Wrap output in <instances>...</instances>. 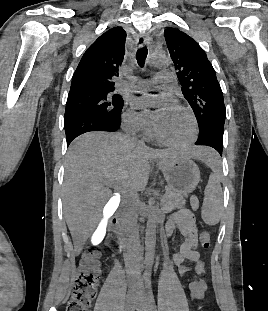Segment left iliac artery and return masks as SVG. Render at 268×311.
Returning <instances> with one entry per match:
<instances>
[{"instance_id":"1","label":"left iliac artery","mask_w":268,"mask_h":311,"mask_svg":"<svg viewBox=\"0 0 268 311\" xmlns=\"http://www.w3.org/2000/svg\"><path fill=\"white\" fill-rule=\"evenodd\" d=\"M148 297H149V302H150V306H151V310L152 311H157L156 310V305H155V300H154V296H153V292H152V288H151V284H148Z\"/></svg>"}]
</instances>
